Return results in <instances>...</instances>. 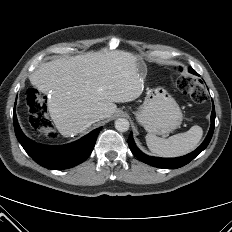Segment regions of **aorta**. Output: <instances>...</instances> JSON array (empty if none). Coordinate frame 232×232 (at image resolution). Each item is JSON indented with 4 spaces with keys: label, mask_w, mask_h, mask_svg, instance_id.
I'll use <instances>...</instances> for the list:
<instances>
[{
    "label": "aorta",
    "mask_w": 232,
    "mask_h": 232,
    "mask_svg": "<svg viewBox=\"0 0 232 232\" xmlns=\"http://www.w3.org/2000/svg\"><path fill=\"white\" fill-rule=\"evenodd\" d=\"M130 127L129 121L125 118H118L115 121V128L119 132H126Z\"/></svg>",
    "instance_id": "762f6f07"
}]
</instances>
